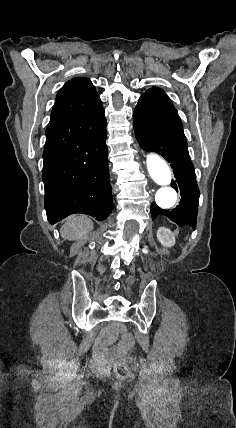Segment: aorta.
<instances>
[{
    "label": "aorta",
    "mask_w": 236,
    "mask_h": 428,
    "mask_svg": "<svg viewBox=\"0 0 236 428\" xmlns=\"http://www.w3.org/2000/svg\"><path fill=\"white\" fill-rule=\"evenodd\" d=\"M147 170L155 183L161 186L156 192L155 202L162 209H170L177 200L176 191L170 186L172 175L167 163L157 154H148Z\"/></svg>",
    "instance_id": "aorta-1"
}]
</instances>
